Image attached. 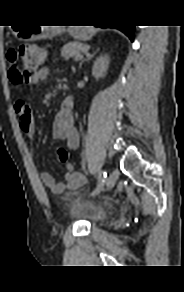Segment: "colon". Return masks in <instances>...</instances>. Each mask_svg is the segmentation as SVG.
Wrapping results in <instances>:
<instances>
[{"instance_id": "colon-1", "label": "colon", "mask_w": 184, "mask_h": 292, "mask_svg": "<svg viewBox=\"0 0 184 292\" xmlns=\"http://www.w3.org/2000/svg\"><path fill=\"white\" fill-rule=\"evenodd\" d=\"M7 59L10 66V81L15 85H19L32 78L43 65L46 59V52L35 45L26 44L18 49L9 51ZM54 155L60 163H65L68 159V153L63 148H57Z\"/></svg>"}]
</instances>
